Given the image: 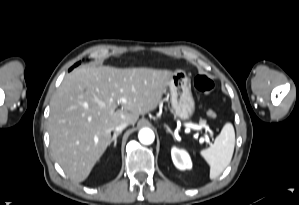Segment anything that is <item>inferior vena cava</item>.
Segmentation results:
<instances>
[{"label":"inferior vena cava","instance_id":"obj_1","mask_svg":"<svg viewBox=\"0 0 299 205\" xmlns=\"http://www.w3.org/2000/svg\"><path fill=\"white\" fill-rule=\"evenodd\" d=\"M128 126V123L127 122H122L121 124L117 125L115 127V133L116 132H122L126 127Z\"/></svg>","mask_w":299,"mask_h":205}]
</instances>
